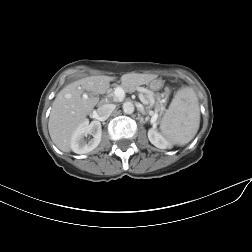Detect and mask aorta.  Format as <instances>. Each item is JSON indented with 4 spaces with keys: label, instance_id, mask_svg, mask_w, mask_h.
<instances>
[{
    "label": "aorta",
    "instance_id": "1",
    "mask_svg": "<svg viewBox=\"0 0 252 252\" xmlns=\"http://www.w3.org/2000/svg\"><path fill=\"white\" fill-rule=\"evenodd\" d=\"M135 110L134 104L131 102H124L123 103V111L126 114H132Z\"/></svg>",
    "mask_w": 252,
    "mask_h": 252
}]
</instances>
